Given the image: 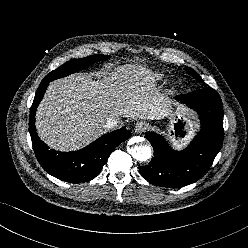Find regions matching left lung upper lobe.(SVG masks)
Wrapping results in <instances>:
<instances>
[{
  "label": "left lung upper lobe",
  "instance_id": "1",
  "mask_svg": "<svg viewBox=\"0 0 248 248\" xmlns=\"http://www.w3.org/2000/svg\"><path fill=\"white\" fill-rule=\"evenodd\" d=\"M186 71H187L191 76H193L194 78H196L197 80H201V77H200L193 69H191L190 67H186ZM201 82H202L203 84H205V83L203 82V80H201Z\"/></svg>",
  "mask_w": 248,
  "mask_h": 248
}]
</instances>
